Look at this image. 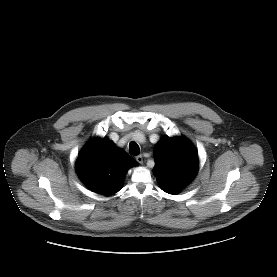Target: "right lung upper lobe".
I'll return each instance as SVG.
<instances>
[{"label":"right lung upper lobe","instance_id":"right-lung-upper-lobe-1","mask_svg":"<svg viewBox=\"0 0 277 277\" xmlns=\"http://www.w3.org/2000/svg\"><path fill=\"white\" fill-rule=\"evenodd\" d=\"M136 161L107 138H94L78 155L76 171L91 190L105 196L121 189L122 179Z\"/></svg>","mask_w":277,"mask_h":277}]
</instances>
